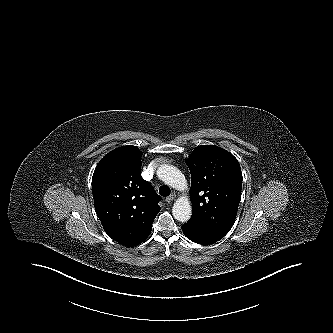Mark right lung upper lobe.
Instances as JSON below:
<instances>
[{
  "label": "right lung upper lobe",
  "mask_w": 333,
  "mask_h": 333,
  "mask_svg": "<svg viewBox=\"0 0 333 333\" xmlns=\"http://www.w3.org/2000/svg\"><path fill=\"white\" fill-rule=\"evenodd\" d=\"M142 152L122 146L106 154L95 168L92 193L105 232L125 246L143 242L151 233L161 197L141 177Z\"/></svg>",
  "instance_id": "cb5924a9"
}]
</instances>
